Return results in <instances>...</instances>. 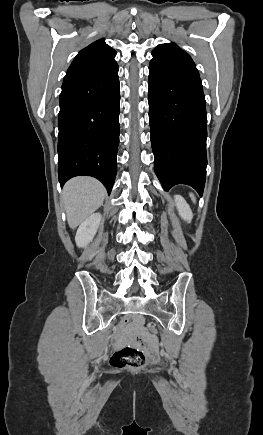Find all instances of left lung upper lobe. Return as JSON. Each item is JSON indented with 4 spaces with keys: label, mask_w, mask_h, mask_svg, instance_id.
I'll use <instances>...</instances> for the list:
<instances>
[{
    "label": "left lung upper lobe",
    "mask_w": 263,
    "mask_h": 435,
    "mask_svg": "<svg viewBox=\"0 0 263 435\" xmlns=\"http://www.w3.org/2000/svg\"><path fill=\"white\" fill-rule=\"evenodd\" d=\"M152 56V60L168 69L199 77L192 58L176 44H161L152 51Z\"/></svg>",
    "instance_id": "left-lung-upper-lobe-1"
}]
</instances>
